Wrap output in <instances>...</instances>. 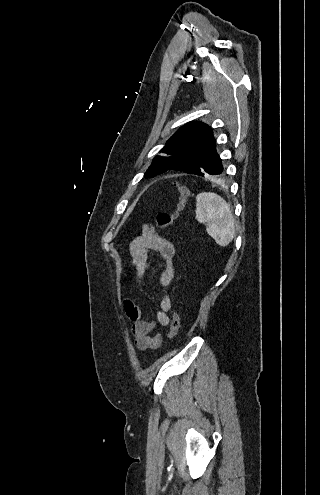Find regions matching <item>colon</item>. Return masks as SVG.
<instances>
[{"label":"colon","mask_w":320,"mask_h":495,"mask_svg":"<svg viewBox=\"0 0 320 495\" xmlns=\"http://www.w3.org/2000/svg\"><path fill=\"white\" fill-rule=\"evenodd\" d=\"M174 187L177 190L178 193V204H177V209L174 213H159L157 215V224L160 228H168L180 215V213L183 211L185 208L188 197H189V190L188 188L179 183H175ZM180 329V316L177 312H174L172 315V320L170 323V330H169V340H173L176 338V336L179 333Z\"/></svg>","instance_id":"obj_1"}]
</instances>
